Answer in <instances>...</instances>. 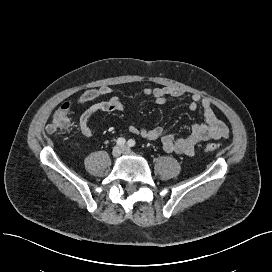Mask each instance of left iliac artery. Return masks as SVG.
Listing matches in <instances>:
<instances>
[{"label":"left iliac artery","mask_w":272,"mask_h":272,"mask_svg":"<svg viewBox=\"0 0 272 272\" xmlns=\"http://www.w3.org/2000/svg\"><path fill=\"white\" fill-rule=\"evenodd\" d=\"M128 146L129 147H134L135 146V144H136V142H135V140H133V139H130V140H128Z\"/></svg>","instance_id":"obj_1"}]
</instances>
